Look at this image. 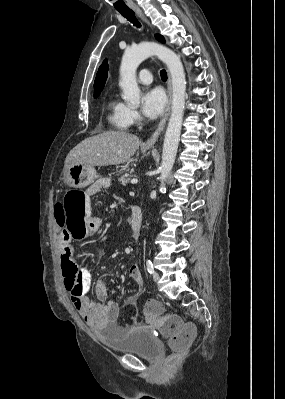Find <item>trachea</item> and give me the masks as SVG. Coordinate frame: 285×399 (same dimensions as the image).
Segmentation results:
<instances>
[{"mask_svg": "<svg viewBox=\"0 0 285 399\" xmlns=\"http://www.w3.org/2000/svg\"><path fill=\"white\" fill-rule=\"evenodd\" d=\"M118 12H120V14L122 16H124L128 21H130L131 23H133L134 26L137 27H141V24L139 23V21L137 20L134 11H132L131 9H126V10H118ZM160 76L161 79L166 81L167 80V73L165 70H161L160 71Z\"/></svg>", "mask_w": 285, "mask_h": 399, "instance_id": "trachea-1", "label": "trachea"}]
</instances>
